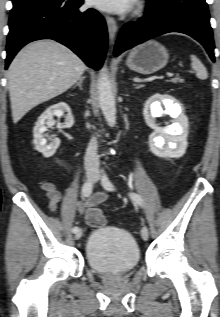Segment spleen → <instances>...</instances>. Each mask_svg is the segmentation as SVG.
I'll list each match as a JSON object with an SVG mask.
<instances>
[{
  "mask_svg": "<svg viewBox=\"0 0 220 317\" xmlns=\"http://www.w3.org/2000/svg\"><path fill=\"white\" fill-rule=\"evenodd\" d=\"M190 59L191 67L195 71L197 78L202 80L207 79L208 74L205 66L201 63V61L195 55H191Z\"/></svg>",
  "mask_w": 220,
  "mask_h": 317,
  "instance_id": "spleen-1",
  "label": "spleen"
}]
</instances>
